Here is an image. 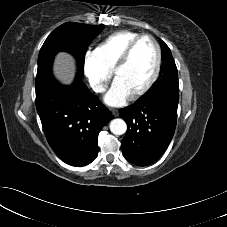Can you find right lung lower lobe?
I'll return each mask as SVG.
<instances>
[{
  "label": "right lung lower lobe",
  "mask_w": 227,
  "mask_h": 227,
  "mask_svg": "<svg viewBox=\"0 0 227 227\" xmlns=\"http://www.w3.org/2000/svg\"><path fill=\"white\" fill-rule=\"evenodd\" d=\"M36 108L47 141L56 155L72 166L91 163L98 155V134L111 112L75 78L62 85L50 77L36 86Z\"/></svg>",
  "instance_id": "obj_1"
}]
</instances>
